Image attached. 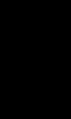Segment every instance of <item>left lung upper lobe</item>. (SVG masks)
<instances>
[{
  "label": "left lung upper lobe",
  "mask_w": 71,
  "mask_h": 119,
  "mask_svg": "<svg viewBox=\"0 0 71 119\" xmlns=\"http://www.w3.org/2000/svg\"><path fill=\"white\" fill-rule=\"evenodd\" d=\"M40 4L42 10L55 20L65 34L70 36L71 0H41Z\"/></svg>",
  "instance_id": "left-lung-upper-lobe-1"
}]
</instances>
